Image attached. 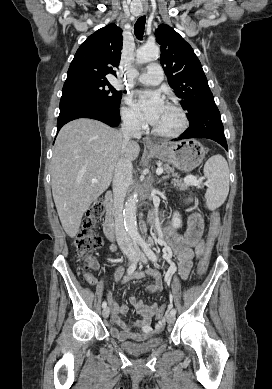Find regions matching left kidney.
I'll use <instances>...</instances> for the list:
<instances>
[{"instance_id":"1","label":"left kidney","mask_w":272,"mask_h":389,"mask_svg":"<svg viewBox=\"0 0 272 389\" xmlns=\"http://www.w3.org/2000/svg\"><path fill=\"white\" fill-rule=\"evenodd\" d=\"M182 221H181V215L179 212H174L173 213V219H172V225L174 228H179L181 227Z\"/></svg>"}]
</instances>
